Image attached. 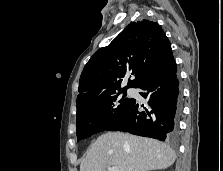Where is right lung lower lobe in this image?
<instances>
[{
	"label": "right lung lower lobe",
	"mask_w": 223,
	"mask_h": 171,
	"mask_svg": "<svg viewBox=\"0 0 223 171\" xmlns=\"http://www.w3.org/2000/svg\"><path fill=\"white\" fill-rule=\"evenodd\" d=\"M177 66L174 58L137 88L148 99V109L139 112L133 101L127 112L104 131H124L135 135L171 141L176 138L177 120L180 114V95Z\"/></svg>",
	"instance_id": "obj_1"
}]
</instances>
